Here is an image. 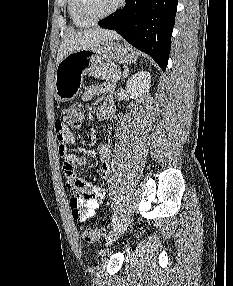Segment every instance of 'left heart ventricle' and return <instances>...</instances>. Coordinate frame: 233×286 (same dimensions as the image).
I'll return each instance as SVG.
<instances>
[{"label":"left heart ventricle","instance_id":"b2bd125f","mask_svg":"<svg viewBox=\"0 0 233 286\" xmlns=\"http://www.w3.org/2000/svg\"><path fill=\"white\" fill-rule=\"evenodd\" d=\"M118 0H85V8L90 16H98L111 9Z\"/></svg>","mask_w":233,"mask_h":286}]
</instances>
